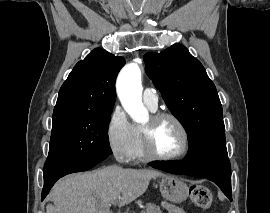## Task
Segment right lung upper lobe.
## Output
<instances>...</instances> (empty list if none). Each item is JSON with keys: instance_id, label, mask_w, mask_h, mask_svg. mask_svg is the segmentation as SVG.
<instances>
[{"instance_id": "cb5924a9", "label": "right lung upper lobe", "mask_w": 270, "mask_h": 213, "mask_svg": "<svg viewBox=\"0 0 270 213\" xmlns=\"http://www.w3.org/2000/svg\"><path fill=\"white\" fill-rule=\"evenodd\" d=\"M123 57L96 48L79 61L60 88L54 113L69 111H112L115 81L124 66Z\"/></svg>"}]
</instances>
